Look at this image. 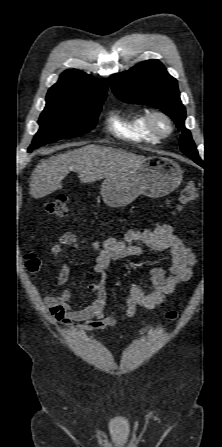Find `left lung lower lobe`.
I'll list each match as a JSON object with an SVG mask.
<instances>
[{"instance_id":"0a47b994","label":"left lung lower lobe","mask_w":222,"mask_h":447,"mask_svg":"<svg viewBox=\"0 0 222 447\" xmlns=\"http://www.w3.org/2000/svg\"><path fill=\"white\" fill-rule=\"evenodd\" d=\"M193 161H195L197 164H199L200 166H203V161L200 158H194L192 159Z\"/></svg>"}]
</instances>
